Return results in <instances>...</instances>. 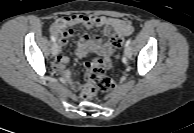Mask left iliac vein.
Here are the masks:
<instances>
[{"label":"left iliac vein","instance_id":"left-iliac-vein-1","mask_svg":"<svg viewBox=\"0 0 194 133\" xmlns=\"http://www.w3.org/2000/svg\"><path fill=\"white\" fill-rule=\"evenodd\" d=\"M124 54H125V57L126 58H131L132 51H131V48L129 46L128 47H125Z\"/></svg>","mask_w":194,"mask_h":133}]
</instances>
